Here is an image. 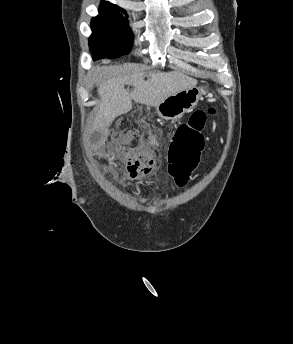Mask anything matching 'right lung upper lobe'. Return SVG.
<instances>
[{
    "instance_id": "1",
    "label": "right lung upper lobe",
    "mask_w": 293,
    "mask_h": 344,
    "mask_svg": "<svg viewBox=\"0 0 293 344\" xmlns=\"http://www.w3.org/2000/svg\"><path fill=\"white\" fill-rule=\"evenodd\" d=\"M100 8L114 9V10H123L120 7H118V6L114 5V4H111L109 2H106V1H102L101 2Z\"/></svg>"
}]
</instances>
